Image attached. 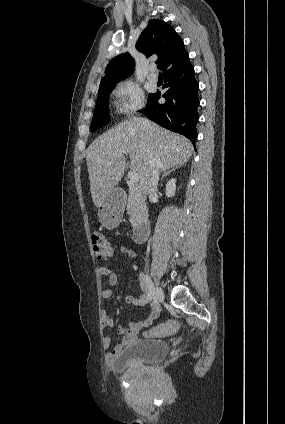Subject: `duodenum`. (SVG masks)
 <instances>
[{"instance_id": "duodenum-1", "label": "duodenum", "mask_w": 285, "mask_h": 424, "mask_svg": "<svg viewBox=\"0 0 285 424\" xmlns=\"http://www.w3.org/2000/svg\"><path fill=\"white\" fill-rule=\"evenodd\" d=\"M150 230V224L148 222H142L133 231V241L136 244H142L147 240Z\"/></svg>"}]
</instances>
